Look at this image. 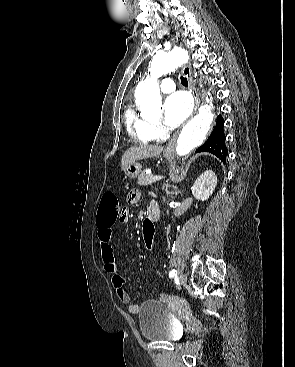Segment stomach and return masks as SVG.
Listing matches in <instances>:
<instances>
[{"mask_svg": "<svg viewBox=\"0 0 295 367\" xmlns=\"http://www.w3.org/2000/svg\"><path fill=\"white\" fill-rule=\"evenodd\" d=\"M165 157L170 158L171 154L169 153H165L164 154ZM142 170V166L138 163L135 162L131 165H129L126 169H125V174L129 177V178H137Z\"/></svg>", "mask_w": 295, "mask_h": 367, "instance_id": "stomach-1", "label": "stomach"}]
</instances>
